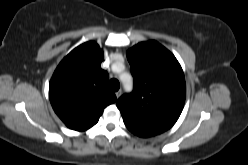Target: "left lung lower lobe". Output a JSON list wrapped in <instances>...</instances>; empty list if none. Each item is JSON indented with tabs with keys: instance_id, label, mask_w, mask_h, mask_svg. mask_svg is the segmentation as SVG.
I'll return each mask as SVG.
<instances>
[{
	"instance_id": "obj_1",
	"label": "left lung lower lobe",
	"mask_w": 248,
	"mask_h": 165,
	"mask_svg": "<svg viewBox=\"0 0 248 165\" xmlns=\"http://www.w3.org/2000/svg\"><path fill=\"white\" fill-rule=\"evenodd\" d=\"M125 125L127 126V128L132 132L134 133L135 135H138L140 137H149V136H153V135H156V134H153V133H149V132H145V131H142L140 129H137V128H134L132 127L131 125H128L125 123Z\"/></svg>"
}]
</instances>
